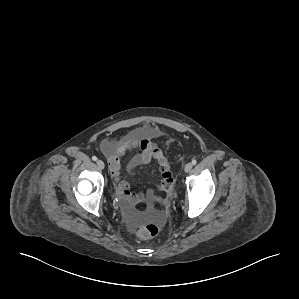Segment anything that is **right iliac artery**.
Masks as SVG:
<instances>
[{"mask_svg":"<svg viewBox=\"0 0 299 299\" xmlns=\"http://www.w3.org/2000/svg\"><path fill=\"white\" fill-rule=\"evenodd\" d=\"M92 160H93V161H96V160H97V157H96V156H93V157H92Z\"/></svg>","mask_w":299,"mask_h":299,"instance_id":"obj_1","label":"right iliac artery"}]
</instances>
